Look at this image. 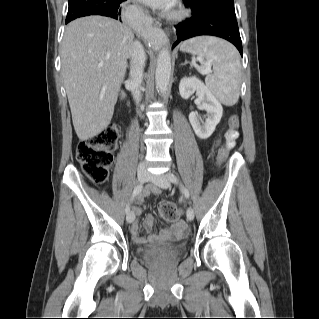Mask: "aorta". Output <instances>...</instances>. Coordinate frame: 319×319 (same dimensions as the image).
<instances>
[{
    "mask_svg": "<svg viewBox=\"0 0 319 319\" xmlns=\"http://www.w3.org/2000/svg\"><path fill=\"white\" fill-rule=\"evenodd\" d=\"M171 75V57L168 48H163L158 55L155 80L160 93L167 91Z\"/></svg>",
    "mask_w": 319,
    "mask_h": 319,
    "instance_id": "1",
    "label": "aorta"
}]
</instances>
